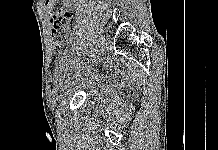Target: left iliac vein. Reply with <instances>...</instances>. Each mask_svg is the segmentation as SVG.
Segmentation results:
<instances>
[{"label": "left iliac vein", "mask_w": 218, "mask_h": 150, "mask_svg": "<svg viewBox=\"0 0 218 150\" xmlns=\"http://www.w3.org/2000/svg\"><path fill=\"white\" fill-rule=\"evenodd\" d=\"M97 56L100 58L102 55L99 53ZM84 75H85L84 71H81L80 73H77V74L74 73L71 76V79L69 81H67V84L64 86L62 92L65 94L68 91V87L72 86V82L77 81V78H80L81 76H84Z\"/></svg>", "instance_id": "1"}]
</instances>
